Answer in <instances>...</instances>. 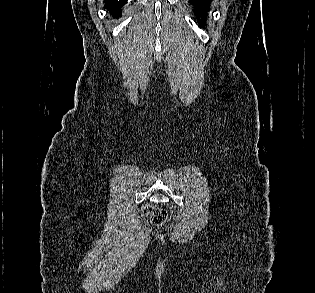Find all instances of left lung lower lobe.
<instances>
[{"mask_svg": "<svg viewBox=\"0 0 315 293\" xmlns=\"http://www.w3.org/2000/svg\"><path fill=\"white\" fill-rule=\"evenodd\" d=\"M209 1L210 0H189L190 3L195 4L197 6V14L198 15L202 14L201 16L202 18L206 14L207 4L209 3ZM200 23L204 25L203 20H201Z\"/></svg>", "mask_w": 315, "mask_h": 293, "instance_id": "1", "label": "left lung lower lobe"}]
</instances>
